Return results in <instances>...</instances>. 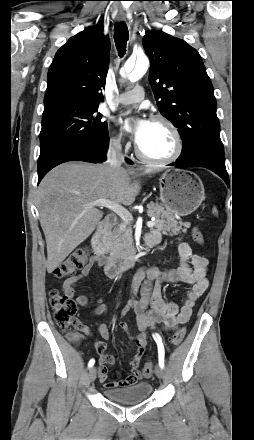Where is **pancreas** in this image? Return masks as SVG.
<instances>
[{
    "instance_id": "obj_1",
    "label": "pancreas",
    "mask_w": 254,
    "mask_h": 440,
    "mask_svg": "<svg viewBox=\"0 0 254 440\" xmlns=\"http://www.w3.org/2000/svg\"><path fill=\"white\" fill-rule=\"evenodd\" d=\"M147 215L155 217V228L165 235L175 236L181 232L186 233L187 228L191 226L189 222H178L171 213L154 203L147 205ZM131 242L132 229L130 222L121 221L105 237V247L110 253L111 258L123 255Z\"/></svg>"
}]
</instances>
